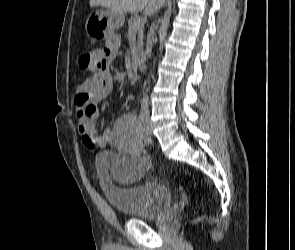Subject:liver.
<instances>
[{"mask_svg":"<svg viewBox=\"0 0 295 250\" xmlns=\"http://www.w3.org/2000/svg\"><path fill=\"white\" fill-rule=\"evenodd\" d=\"M165 0H90V6H102L117 12L137 13L144 10L146 15L155 13Z\"/></svg>","mask_w":295,"mask_h":250,"instance_id":"liver-1","label":"liver"}]
</instances>
